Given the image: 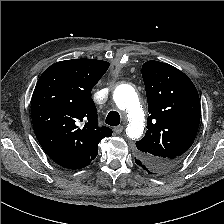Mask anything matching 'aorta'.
I'll return each instance as SVG.
<instances>
[{
	"label": "aorta",
	"mask_w": 224,
	"mask_h": 224,
	"mask_svg": "<svg viewBox=\"0 0 224 224\" xmlns=\"http://www.w3.org/2000/svg\"><path fill=\"white\" fill-rule=\"evenodd\" d=\"M113 99L129 119L126 135L130 139L139 138L144 130V114L135 89L129 84H120L115 88Z\"/></svg>",
	"instance_id": "1"
}]
</instances>
